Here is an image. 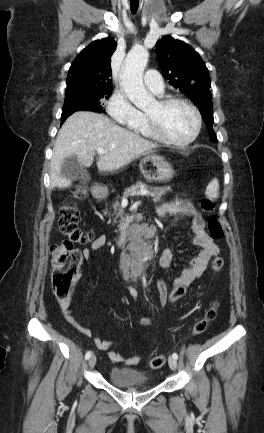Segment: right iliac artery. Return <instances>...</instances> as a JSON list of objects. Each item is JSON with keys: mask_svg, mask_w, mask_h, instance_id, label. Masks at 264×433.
<instances>
[{"mask_svg": "<svg viewBox=\"0 0 264 433\" xmlns=\"http://www.w3.org/2000/svg\"><path fill=\"white\" fill-rule=\"evenodd\" d=\"M90 357H91V351H88V352L85 354V359L88 360Z\"/></svg>", "mask_w": 264, "mask_h": 433, "instance_id": "right-iliac-artery-1", "label": "right iliac artery"}]
</instances>
